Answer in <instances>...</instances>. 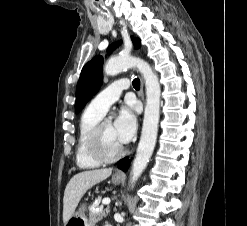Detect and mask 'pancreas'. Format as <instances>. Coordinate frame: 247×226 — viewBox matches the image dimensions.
I'll return each instance as SVG.
<instances>
[{
    "label": "pancreas",
    "instance_id": "1",
    "mask_svg": "<svg viewBox=\"0 0 247 226\" xmlns=\"http://www.w3.org/2000/svg\"><path fill=\"white\" fill-rule=\"evenodd\" d=\"M99 203L100 200L97 203H93L89 211V221L93 224L101 221L110 212L109 207L103 209L101 206H99Z\"/></svg>",
    "mask_w": 247,
    "mask_h": 226
}]
</instances>
